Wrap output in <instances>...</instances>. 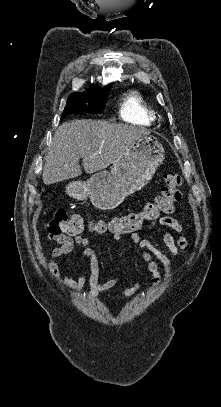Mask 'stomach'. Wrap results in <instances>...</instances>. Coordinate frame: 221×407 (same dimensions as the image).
Listing matches in <instances>:
<instances>
[{
    "mask_svg": "<svg viewBox=\"0 0 221 407\" xmlns=\"http://www.w3.org/2000/svg\"><path fill=\"white\" fill-rule=\"evenodd\" d=\"M164 153L157 137L144 135L113 163L110 172L95 173L86 182L73 181L67 185L66 192L76 200L89 198L101 210L116 208L152 179L164 160Z\"/></svg>",
    "mask_w": 221,
    "mask_h": 407,
    "instance_id": "obj_1",
    "label": "stomach"
}]
</instances>
